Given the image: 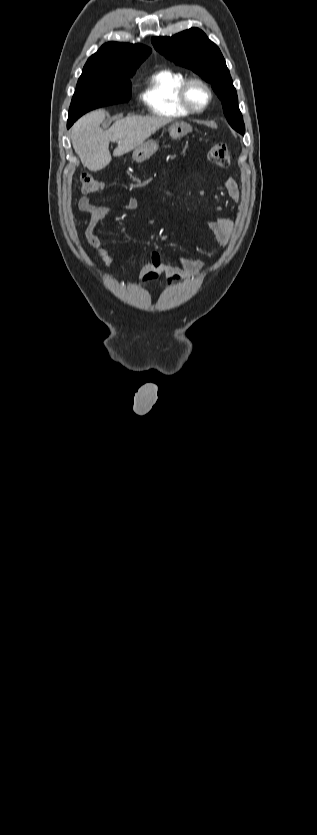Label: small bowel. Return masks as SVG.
<instances>
[{
  "instance_id": "obj_1",
  "label": "small bowel",
  "mask_w": 317,
  "mask_h": 835,
  "mask_svg": "<svg viewBox=\"0 0 317 835\" xmlns=\"http://www.w3.org/2000/svg\"><path fill=\"white\" fill-rule=\"evenodd\" d=\"M222 187L226 194L235 202L240 200V189L237 182L227 177L222 181ZM78 207L81 211L89 213V219L85 228V238L89 246L94 250L97 257L104 263L106 267H113L116 262L112 256L101 246L98 238L99 226L105 218L107 209L103 206L91 203L90 199L83 196L79 199ZM138 207V202L135 198L129 197L121 206L122 210L134 211ZM209 229L214 236L216 242L224 247L229 242L234 229V222L230 218L217 217L208 222ZM151 262L136 270L138 278L142 283L150 282L158 276L161 271L171 270L168 267L162 266V255L159 251L152 253ZM178 269L187 277L197 276L204 268L203 261L199 259L176 258Z\"/></svg>"
}]
</instances>
